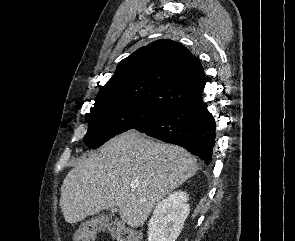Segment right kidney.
I'll list each match as a JSON object with an SVG mask.
<instances>
[{
    "instance_id": "obj_1",
    "label": "right kidney",
    "mask_w": 295,
    "mask_h": 241,
    "mask_svg": "<svg viewBox=\"0 0 295 241\" xmlns=\"http://www.w3.org/2000/svg\"><path fill=\"white\" fill-rule=\"evenodd\" d=\"M186 192L169 194L156 205L148 224V241H175L189 215L190 205Z\"/></svg>"
}]
</instances>
